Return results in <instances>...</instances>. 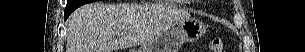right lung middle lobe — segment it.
Returning a JSON list of instances; mask_svg holds the SVG:
<instances>
[{
	"label": "right lung middle lobe",
	"mask_w": 305,
	"mask_h": 52,
	"mask_svg": "<svg viewBox=\"0 0 305 52\" xmlns=\"http://www.w3.org/2000/svg\"><path fill=\"white\" fill-rule=\"evenodd\" d=\"M97 0H68L67 1V8L76 9L86 3L94 2Z\"/></svg>",
	"instance_id": "dd1d6c3e"
}]
</instances>
